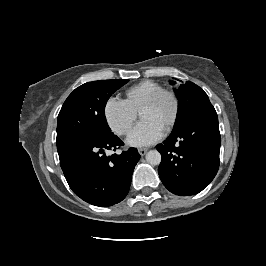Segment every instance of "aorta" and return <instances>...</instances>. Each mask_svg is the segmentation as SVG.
Instances as JSON below:
<instances>
[{"mask_svg": "<svg viewBox=\"0 0 266 266\" xmlns=\"http://www.w3.org/2000/svg\"><path fill=\"white\" fill-rule=\"evenodd\" d=\"M146 161L150 165H159L161 162V154L157 150H150L146 154Z\"/></svg>", "mask_w": 266, "mask_h": 266, "instance_id": "762f6f07", "label": "aorta"}]
</instances>
